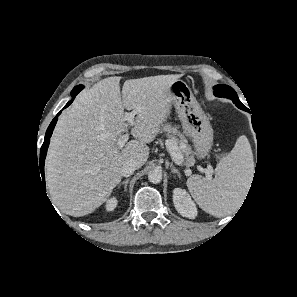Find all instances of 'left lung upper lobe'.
Wrapping results in <instances>:
<instances>
[{"label": "left lung upper lobe", "mask_w": 297, "mask_h": 297, "mask_svg": "<svg viewBox=\"0 0 297 297\" xmlns=\"http://www.w3.org/2000/svg\"><path fill=\"white\" fill-rule=\"evenodd\" d=\"M214 95L217 97H224V98H228L230 100L233 101V103L235 104H241L243 105L238 96L237 93L235 92V90L233 88H231L230 86L227 85H216L214 88Z\"/></svg>", "instance_id": "1"}]
</instances>
